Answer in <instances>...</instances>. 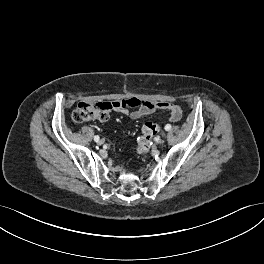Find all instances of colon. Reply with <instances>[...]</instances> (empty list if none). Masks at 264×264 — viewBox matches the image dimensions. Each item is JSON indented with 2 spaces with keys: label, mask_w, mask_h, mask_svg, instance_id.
<instances>
[{
  "label": "colon",
  "mask_w": 264,
  "mask_h": 264,
  "mask_svg": "<svg viewBox=\"0 0 264 264\" xmlns=\"http://www.w3.org/2000/svg\"><path fill=\"white\" fill-rule=\"evenodd\" d=\"M130 105V101L120 100L114 102H81L72 113V120L82 123L89 120H106L114 109ZM159 126L151 121L142 126V135L138 139L137 151L141 154L148 152L154 136L158 133Z\"/></svg>",
  "instance_id": "obj_1"
}]
</instances>
